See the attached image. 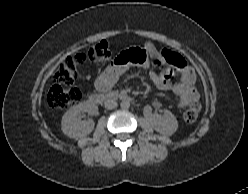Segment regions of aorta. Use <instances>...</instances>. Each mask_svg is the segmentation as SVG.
Here are the masks:
<instances>
[{"label": "aorta", "instance_id": "obj_1", "mask_svg": "<svg viewBox=\"0 0 248 194\" xmlns=\"http://www.w3.org/2000/svg\"><path fill=\"white\" fill-rule=\"evenodd\" d=\"M120 106L122 109H128L130 107V101L128 99H124L121 101Z\"/></svg>", "mask_w": 248, "mask_h": 194}]
</instances>
